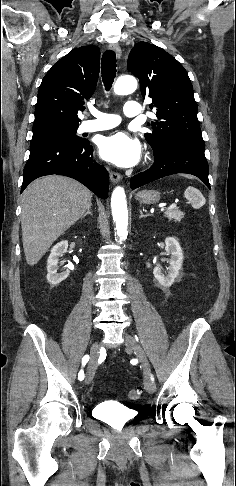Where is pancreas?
Wrapping results in <instances>:
<instances>
[{
  "instance_id": "pancreas-1",
  "label": "pancreas",
  "mask_w": 236,
  "mask_h": 486,
  "mask_svg": "<svg viewBox=\"0 0 236 486\" xmlns=\"http://www.w3.org/2000/svg\"><path fill=\"white\" fill-rule=\"evenodd\" d=\"M165 217H167L169 220H174L176 222H180L184 217V213L182 211H178V210L167 211L165 213Z\"/></svg>"
}]
</instances>
